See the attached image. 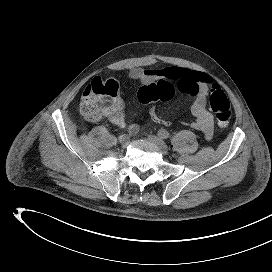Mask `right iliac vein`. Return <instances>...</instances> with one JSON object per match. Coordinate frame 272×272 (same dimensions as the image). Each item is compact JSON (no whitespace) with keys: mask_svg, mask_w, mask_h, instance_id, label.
I'll return each mask as SVG.
<instances>
[{"mask_svg":"<svg viewBox=\"0 0 272 272\" xmlns=\"http://www.w3.org/2000/svg\"><path fill=\"white\" fill-rule=\"evenodd\" d=\"M119 142L122 146H127L130 142V136L127 134L120 136Z\"/></svg>","mask_w":272,"mask_h":272,"instance_id":"right-iliac-vein-1","label":"right iliac vein"}]
</instances>
